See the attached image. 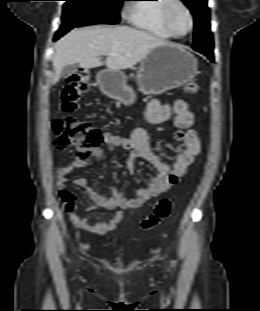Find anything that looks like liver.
I'll return each mask as SVG.
<instances>
[{"label": "liver", "instance_id": "liver-1", "mask_svg": "<svg viewBox=\"0 0 260 311\" xmlns=\"http://www.w3.org/2000/svg\"><path fill=\"white\" fill-rule=\"evenodd\" d=\"M167 41L127 26H91L75 29L60 39L55 46L53 83L58 82L64 67L79 64L84 69L102 66L101 55H106L110 70L131 68L142 61L154 47ZM117 54L112 56L111 54Z\"/></svg>", "mask_w": 260, "mask_h": 311}]
</instances>
